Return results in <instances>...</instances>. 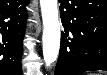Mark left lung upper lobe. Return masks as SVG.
I'll list each match as a JSON object with an SVG mask.
<instances>
[{
  "instance_id": "left-lung-upper-lobe-1",
  "label": "left lung upper lobe",
  "mask_w": 107,
  "mask_h": 75,
  "mask_svg": "<svg viewBox=\"0 0 107 75\" xmlns=\"http://www.w3.org/2000/svg\"><path fill=\"white\" fill-rule=\"evenodd\" d=\"M96 5L97 4H93L91 6L95 7ZM73 20L72 24H69L68 26L66 36L71 39H80V37L84 36V24L79 16H74Z\"/></svg>"
}]
</instances>
